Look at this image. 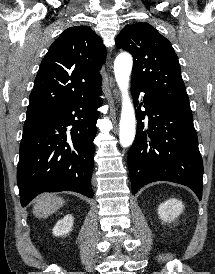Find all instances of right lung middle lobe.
<instances>
[{
    "instance_id": "dd1d6c3e",
    "label": "right lung middle lobe",
    "mask_w": 215,
    "mask_h": 274,
    "mask_svg": "<svg viewBox=\"0 0 215 274\" xmlns=\"http://www.w3.org/2000/svg\"><path fill=\"white\" fill-rule=\"evenodd\" d=\"M50 113L51 112L46 111L27 112L24 130L37 124L39 121L46 118Z\"/></svg>"
}]
</instances>
